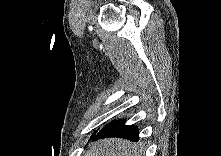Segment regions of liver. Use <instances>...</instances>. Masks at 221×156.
<instances>
[{
    "instance_id": "1",
    "label": "liver",
    "mask_w": 221,
    "mask_h": 156,
    "mask_svg": "<svg viewBox=\"0 0 221 156\" xmlns=\"http://www.w3.org/2000/svg\"><path fill=\"white\" fill-rule=\"evenodd\" d=\"M139 144L125 139L108 138L96 141L86 151L85 156H142Z\"/></svg>"
}]
</instances>
